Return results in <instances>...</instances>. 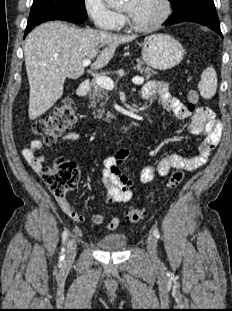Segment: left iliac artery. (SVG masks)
I'll list each match as a JSON object with an SVG mask.
<instances>
[{
	"label": "left iliac artery",
	"mask_w": 232,
	"mask_h": 311,
	"mask_svg": "<svg viewBox=\"0 0 232 311\" xmlns=\"http://www.w3.org/2000/svg\"><path fill=\"white\" fill-rule=\"evenodd\" d=\"M153 235H154L157 239L160 238V233H159V231H158L157 229H154V230H153Z\"/></svg>",
	"instance_id": "1"
}]
</instances>
